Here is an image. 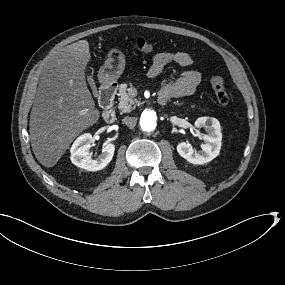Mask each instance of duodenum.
<instances>
[{"label": "duodenum", "instance_id": "410a0bca", "mask_svg": "<svg viewBox=\"0 0 285 285\" xmlns=\"http://www.w3.org/2000/svg\"><path fill=\"white\" fill-rule=\"evenodd\" d=\"M117 92V84L114 82L105 83L99 95V102L103 108V119L107 123H111L116 119V112L114 108V98Z\"/></svg>", "mask_w": 285, "mask_h": 285}]
</instances>
